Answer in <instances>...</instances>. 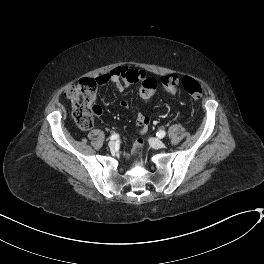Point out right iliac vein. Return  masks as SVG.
I'll use <instances>...</instances> for the list:
<instances>
[{
	"mask_svg": "<svg viewBox=\"0 0 264 264\" xmlns=\"http://www.w3.org/2000/svg\"><path fill=\"white\" fill-rule=\"evenodd\" d=\"M108 146H109V148H110L111 150H114L116 144H115L114 141H110L109 144H108Z\"/></svg>",
	"mask_w": 264,
	"mask_h": 264,
	"instance_id": "obj_1",
	"label": "right iliac vein"
}]
</instances>
